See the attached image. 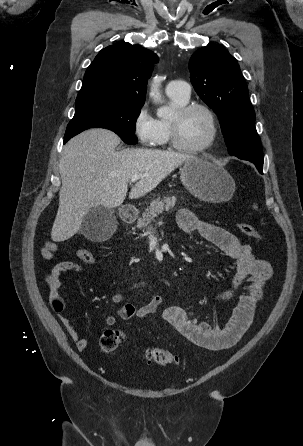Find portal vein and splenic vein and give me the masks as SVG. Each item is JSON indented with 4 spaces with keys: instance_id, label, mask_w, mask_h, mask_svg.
I'll list each match as a JSON object with an SVG mask.
<instances>
[{
    "instance_id": "1",
    "label": "portal vein and splenic vein",
    "mask_w": 303,
    "mask_h": 446,
    "mask_svg": "<svg viewBox=\"0 0 303 446\" xmlns=\"http://www.w3.org/2000/svg\"><path fill=\"white\" fill-rule=\"evenodd\" d=\"M142 177H143L142 175H133L131 177V182H135V181L139 180Z\"/></svg>"
}]
</instances>
